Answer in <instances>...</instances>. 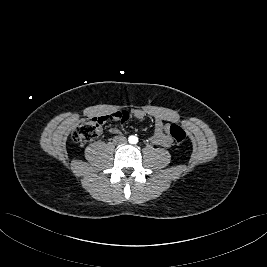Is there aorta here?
Returning <instances> with one entry per match:
<instances>
[{"label": "aorta", "instance_id": "762f6f07", "mask_svg": "<svg viewBox=\"0 0 267 267\" xmlns=\"http://www.w3.org/2000/svg\"><path fill=\"white\" fill-rule=\"evenodd\" d=\"M137 141H138L137 137H135V136H130L129 137V142L130 143L135 144V143H137Z\"/></svg>", "mask_w": 267, "mask_h": 267}]
</instances>
